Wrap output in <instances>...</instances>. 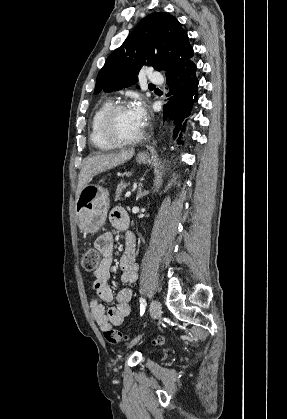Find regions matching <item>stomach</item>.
Listing matches in <instances>:
<instances>
[{
  "label": "stomach",
  "instance_id": "0dacf381",
  "mask_svg": "<svg viewBox=\"0 0 287 419\" xmlns=\"http://www.w3.org/2000/svg\"><path fill=\"white\" fill-rule=\"evenodd\" d=\"M149 159L147 153L138 154L136 157L139 164H145ZM108 209L107 190L97 184H85L75 203V213L80 228L86 233H96L105 223Z\"/></svg>",
  "mask_w": 287,
  "mask_h": 419
}]
</instances>
